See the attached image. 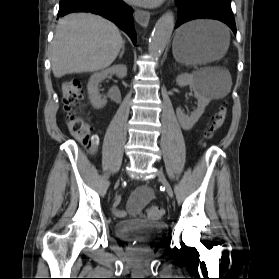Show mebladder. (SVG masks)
I'll return each instance as SVG.
<instances>
[{"instance_id":"bladder-1","label":"bladder","mask_w":279,"mask_h":279,"mask_svg":"<svg viewBox=\"0 0 279 279\" xmlns=\"http://www.w3.org/2000/svg\"><path fill=\"white\" fill-rule=\"evenodd\" d=\"M168 226L149 220H124L116 223L115 234L119 239L152 245L164 240Z\"/></svg>"}]
</instances>
